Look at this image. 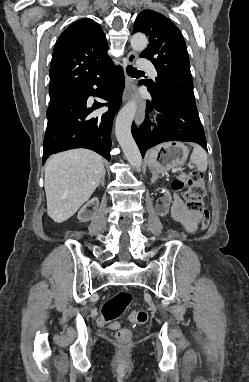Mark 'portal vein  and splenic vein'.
Instances as JSON below:
<instances>
[{
	"mask_svg": "<svg viewBox=\"0 0 249 382\" xmlns=\"http://www.w3.org/2000/svg\"><path fill=\"white\" fill-rule=\"evenodd\" d=\"M173 172L176 173V172H177V169L173 170Z\"/></svg>",
	"mask_w": 249,
	"mask_h": 382,
	"instance_id": "obj_1",
	"label": "portal vein and splenic vein"
}]
</instances>
